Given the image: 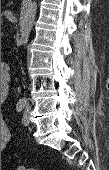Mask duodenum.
<instances>
[{"label": "duodenum", "mask_w": 109, "mask_h": 170, "mask_svg": "<svg viewBox=\"0 0 109 170\" xmlns=\"http://www.w3.org/2000/svg\"><path fill=\"white\" fill-rule=\"evenodd\" d=\"M10 82V66L7 62L1 63V90L6 91Z\"/></svg>", "instance_id": "duodenum-1"}]
</instances>
